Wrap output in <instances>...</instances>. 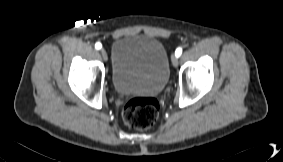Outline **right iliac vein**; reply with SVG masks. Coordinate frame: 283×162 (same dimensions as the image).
Wrapping results in <instances>:
<instances>
[{
    "label": "right iliac vein",
    "instance_id": "63e3f726",
    "mask_svg": "<svg viewBox=\"0 0 283 162\" xmlns=\"http://www.w3.org/2000/svg\"><path fill=\"white\" fill-rule=\"evenodd\" d=\"M100 53H101L103 59H104V60H107V52L105 51V49H101V50H100Z\"/></svg>",
    "mask_w": 283,
    "mask_h": 162
}]
</instances>
